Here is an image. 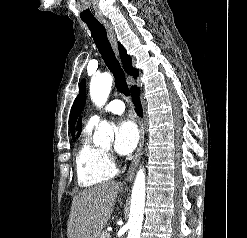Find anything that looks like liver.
<instances>
[{
	"mask_svg": "<svg viewBox=\"0 0 247 238\" xmlns=\"http://www.w3.org/2000/svg\"><path fill=\"white\" fill-rule=\"evenodd\" d=\"M119 191L118 183L109 182L79 192L72 202L68 238H99Z\"/></svg>",
	"mask_w": 247,
	"mask_h": 238,
	"instance_id": "obj_1",
	"label": "liver"
}]
</instances>
